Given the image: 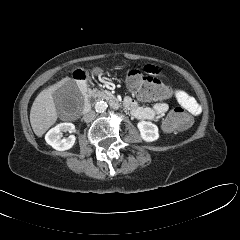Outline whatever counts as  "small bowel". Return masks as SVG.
Segmentation results:
<instances>
[{"instance_id": "small-bowel-1", "label": "small bowel", "mask_w": 240, "mask_h": 240, "mask_svg": "<svg viewBox=\"0 0 240 240\" xmlns=\"http://www.w3.org/2000/svg\"><path fill=\"white\" fill-rule=\"evenodd\" d=\"M144 72L149 75H161V69L154 65H146ZM173 97L177 103L193 115H198L201 112V107L198 102L187 92L182 89H174L172 92ZM124 106L130 113L140 120H156L158 117L163 116L169 109V105L165 102H157L152 106H144L138 104L133 99L126 97L124 99Z\"/></svg>"}]
</instances>
